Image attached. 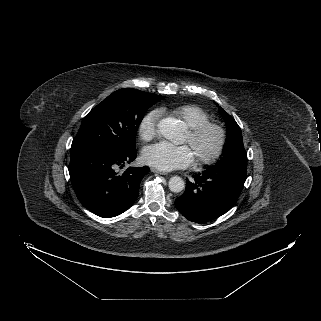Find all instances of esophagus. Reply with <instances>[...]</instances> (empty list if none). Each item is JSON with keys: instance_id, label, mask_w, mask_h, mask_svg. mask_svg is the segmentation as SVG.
Masks as SVG:
<instances>
[{"instance_id": "esophagus-1", "label": "esophagus", "mask_w": 321, "mask_h": 321, "mask_svg": "<svg viewBox=\"0 0 321 321\" xmlns=\"http://www.w3.org/2000/svg\"><path fill=\"white\" fill-rule=\"evenodd\" d=\"M151 171L154 172V173L160 174V175H168V173L160 171V170L155 169V168H151Z\"/></svg>"}]
</instances>
